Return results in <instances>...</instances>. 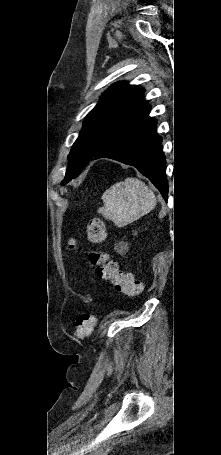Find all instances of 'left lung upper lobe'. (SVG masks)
<instances>
[{"label":"left lung upper lobe","mask_w":221,"mask_h":455,"mask_svg":"<svg viewBox=\"0 0 221 455\" xmlns=\"http://www.w3.org/2000/svg\"><path fill=\"white\" fill-rule=\"evenodd\" d=\"M143 93L142 87L127 82L115 83L104 92L86 116L83 129L72 146L62 185L77 177L116 135L150 112L151 107L142 100Z\"/></svg>","instance_id":"left-lung-upper-lobe-1"}]
</instances>
